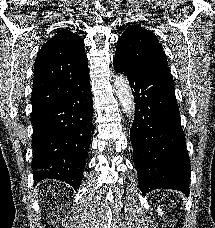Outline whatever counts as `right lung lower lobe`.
I'll return each mask as SVG.
<instances>
[{"mask_svg": "<svg viewBox=\"0 0 215 228\" xmlns=\"http://www.w3.org/2000/svg\"><path fill=\"white\" fill-rule=\"evenodd\" d=\"M92 115L89 74L70 82L63 97L31 114L34 183L56 179L79 187L91 141Z\"/></svg>", "mask_w": 215, "mask_h": 228, "instance_id": "98d812e1", "label": "right lung lower lobe"}]
</instances>
